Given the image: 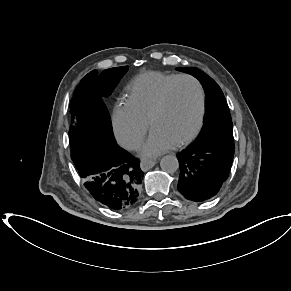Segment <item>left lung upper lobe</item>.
Segmentation results:
<instances>
[{"instance_id": "left-lung-upper-lobe-1", "label": "left lung upper lobe", "mask_w": 291, "mask_h": 291, "mask_svg": "<svg viewBox=\"0 0 291 291\" xmlns=\"http://www.w3.org/2000/svg\"><path fill=\"white\" fill-rule=\"evenodd\" d=\"M177 70L196 77L206 92V116L203 128L193 143H211L234 148L232 119L224 94L218 84L203 71L194 67Z\"/></svg>"}]
</instances>
